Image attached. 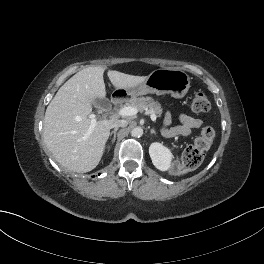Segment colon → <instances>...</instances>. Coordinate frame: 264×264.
<instances>
[{
  "instance_id": "colon-1",
  "label": "colon",
  "mask_w": 264,
  "mask_h": 264,
  "mask_svg": "<svg viewBox=\"0 0 264 264\" xmlns=\"http://www.w3.org/2000/svg\"><path fill=\"white\" fill-rule=\"evenodd\" d=\"M190 108L194 113H205L210 109V102L202 91H195L191 97ZM214 138V129L210 126L204 127L194 144L184 150L182 161L174 165L173 173L180 174L195 168L202 160L204 152L210 147Z\"/></svg>"
}]
</instances>
